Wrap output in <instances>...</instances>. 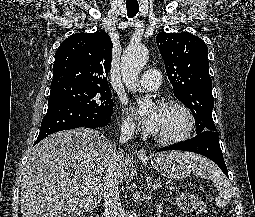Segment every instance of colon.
<instances>
[{
  "label": "colon",
  "mask_w": 255,
  "mask_h": 217,
  "mask_svg": "<svg viewBox=\"0 0 255 217\" xmlns=\"http://www.w3.org/2000/svg\"><path fill=\"white\" fill-rule=\"evenodd\" d=\"M177 206L184 212L192 216H201L205 214V205L197 197L190 193H180L176 196Z\"/></svg>",
  "instance_id": "5ec220e1"
}]
</instances>
